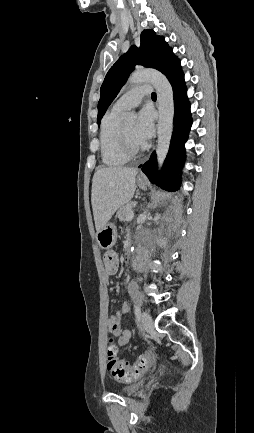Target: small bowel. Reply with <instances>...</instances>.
Segmentation results:
<instances>
[{"instance_id":"c3829d8e","label":"small bowel","mask_w":254,"mask_h":433,"mask_svg":"<svg viewBox=\"0 0 254 433\" xmlns=\"http://www.w3.org/2000/svg\"><path fill=\"white\" fill-rule=\"evenodd\" d=\"M106 282H108V275L106 277ZM129 312V307L126 303L122 305L120 310L116 312L115 315L107 318L105 320V328L106 330L118 337V345L124 346L128 344L132 338V332L131 330L127 328H122L121 321L123 317H125Z\"/></svg>"}]
</instances>
